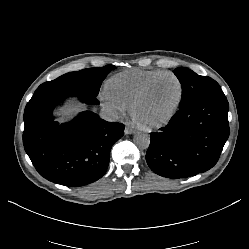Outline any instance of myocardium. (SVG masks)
Masks as SVG:
<instances>
[{"instance_id": "f54148a6", "label": "myocardium", "mask_w": 249, "mask_h": 249, "mask_svg": "<svg viewBox=\"0 0 249 249\" xmlns=\"http://www.w3.org/2000/svg\"><path fill=\"white\" fill-rule=\"evenodd\" d=\"M167 76L173 77L178 82L179 98H178L177 104L175 105L173 110L169 113V115L161 120H158V121H155L152 123H148V124L141 123V122L137 121L135 116H134V111H135L136 107L144 99V97L148 94V92L150 91L152 86L158 80H160L163 77H167ZM184 96H185V87H184V84H183V81L181 80V78L174 72H170V71L163 72L161 74L154 76L153 78H151L148 82H146L144 84V86L140 89V91L136 94V96L131 101V103L129 105V112H130V115L138 122V124L140 125L141 128H143L145 130L160 129V128H163L164 126L168 125L175 118V116L178 114V112L182 106Z\"/></svg>"}]
</instances>
